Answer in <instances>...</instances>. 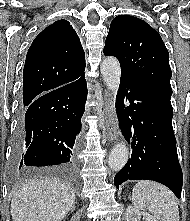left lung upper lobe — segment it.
<instances>
[{
    "label": "left lung upper lobe",
    "instance_id": "obj_1",
    "mask_svg": "<svg viewBox=\"0 0 190 221\" xmlns=\"http://www.w3.org/2000/svg\"><path fill=\"white\" fill-rule=\"evenodd\" d=\"M104 54L119 60L121 79L172 93L168 51L157 31L145 21L129 15L115 17Z\"/></svg>",
    "mask_w": 190,
    "mask_h": 221
}]
</instances>
